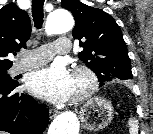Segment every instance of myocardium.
<instances>
[{
    "mask_svg": "<svg viewBox=\"0 0 153 134\" xmlns=\"http://www.w3.org/2000/svg\"><path fill=\"white\" fill-rule=\"evenodd\" d=\"M73 75L83 77L86 85L77 95L72 97L74 103L82 102L94 94L99 85V79L96 72L87 65H78L73 70Z\"/></svg>",
    "mask_w": 153,
    "mask_h": 134,
    "instance_id": "1",
    "label": "myocardium"
}]
</instances>
